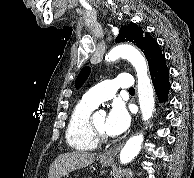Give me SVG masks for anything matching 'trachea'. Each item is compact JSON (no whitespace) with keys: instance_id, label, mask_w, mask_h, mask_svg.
I'll return each instance as SVG.
<instances>
[{"instance_id":"obj_1","label":"trachea","mask_w":194,"mask_h":178,"mask_svg":"<svg viewBox=\"0 0 194 178\" xmlns=\"http://www.w3.org/2000/svg\"><path fill=\"white\" fill-rule=\"evenodd\" d=\"M129 92H135L134 88H130Z\"/></svg>"}]
</instances>
